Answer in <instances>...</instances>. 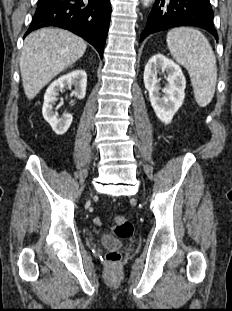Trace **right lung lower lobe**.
<instances>
[{"label": "right lung lower lobe", "instance_id": "right-lung-lower-lobe-1", "mask_svg": "<svg viewBox=\"0 0 232 311\" xmlns=\"http://www.w3.org/2000/svg\"><path fill=\"white\" fill-rule=\"evenodd\" d=\"M110 15V0H38L25 36L46 26L64 28L92 44L102 58Z\"/></svg>", "mask_w": 232, "mask_h": 311}]
</instances>
